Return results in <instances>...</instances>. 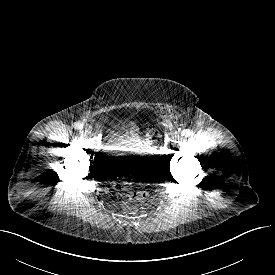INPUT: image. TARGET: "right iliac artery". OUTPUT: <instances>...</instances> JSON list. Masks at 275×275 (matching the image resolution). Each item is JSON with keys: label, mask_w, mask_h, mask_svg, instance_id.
Listing matches in <instances>:
<instances>
[{"label": "right iliac artery", "mask_w": 275, "mask_h": 275, "mask_svg": "<svg viewBox=\"0 0 275 275\" xmlns=\"http://www.w3.org/2000/svg\"><path fill=\"white\" fill-rule=\"evenodd\" d=\"M74 127H75L76 129H82L83 124L77 122V123L74 124Z\"/></svg>", "instance_id": "obj_1"}]
</instances>
